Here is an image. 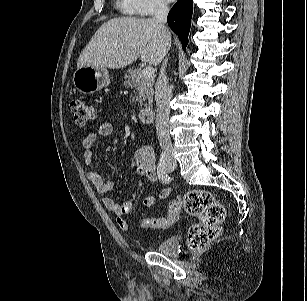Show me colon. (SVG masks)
<instances>
[{"mask_svg": "<svg viewBox=\"0 0 307 301\" xmlns=\"http://www.w3.org/2000/svg\"><path fill=\"white\" fill-rule=\"evenodd\" d=\"M70 109L78 125H85L98 115L97 106L80 97L71 100ZM181 209L199 219L198 223L192 224L188 229V247L194 251L205 249L219 236V225L225 218L223 205L209 191L195 189L178 196L169 203L166 216L147 217L142 220L141 227H169L175 222Z\"/></svg>", "mask_w": 307, "mask_h": 301, "instance_id": "colon-1", "label": "colon"}]
</instances>
